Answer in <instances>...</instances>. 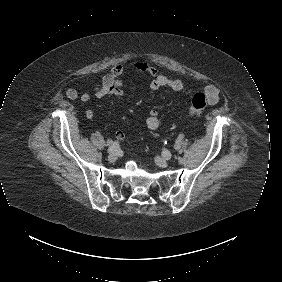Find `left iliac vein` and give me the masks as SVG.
I'll return each mask as SVG.
<instances>
[{"mask_svg":"<svg viewBox=\"0 0 282 282\" xmlns=\"http://www.w3.org/2000/svg\"><path fill=\"white\" fill-rule=\"evenodd\" d=\"M155 162L157 163V165H159L160 167H167L168 166V161L166 158H163V157H160V156H157L155 158Z\"/></svg>","mask_w":282,"mask_h":282,"instance_id":"obj_1","label":"left iliac vein"}]
</instances>
